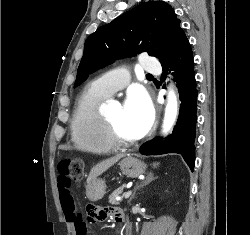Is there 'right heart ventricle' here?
<instances>
[{"label":"right heart ventricle","instance_id":"right-heart-ventricle-1","mask_svg":"<svg viewBox=\"0 0 250 235\" xmlns=\"http://www.w3.org/2000/svg\"><path fill=\"white\" fill-rule=\"evenodd\" d=\"M109 97L91 85L79 98L73 112L71 136L80 151L105 154L116 148L109 140L101 111Z\"/></svg>","mask_w":250,"mask_h":235}]
</instances>
